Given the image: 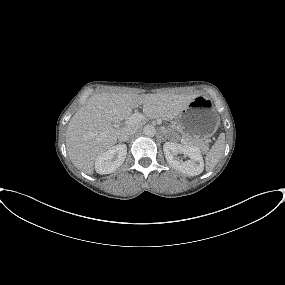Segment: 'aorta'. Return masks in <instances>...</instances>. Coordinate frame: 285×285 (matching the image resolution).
<instances>
[{
  "mask_svg": "<svg viewBox=\"0 0 285 285\" xmlns=\"http://www.w3.org/2000/svg\"><path fill=\"white\" fill-rule=\"evenodd\" d=\"M143 133H144L145 136L152 137V136H154L156 134V129L152 125H146L143 128Z\"/></svg>",
  "mask_w": 285,
  "mask_h": 285,
  "instance_id": "obj_1",
  "label": "aorta"
}]
</instances>
